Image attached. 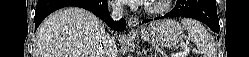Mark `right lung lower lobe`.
I'll return each mask as SVG.
<instances>
[{
	"label": "right lung lower lobe",
	"mask_w": 249,
	"mask_h": 57,
	"mask_svg": "<svg viewBox=\"0 0 249 57\" xmlns=\"http://www.w3.org/2000/svg\"><path fill=\"white\" fill-rule=\"evenodd\" d=\"M66 6H77L89 10L114 30L122 31L126 27L124 19L120 21L111 19L107 0H38L34 17L35 30L50 13Z\"/></svg>",
	"instance_id": "right-lung-lower-lobe-1"
}]
</instances>
